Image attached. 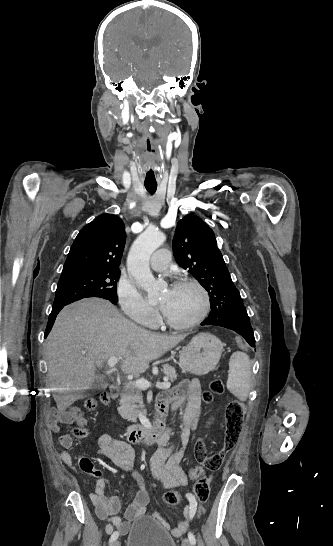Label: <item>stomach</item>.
<instances>
[{"label": "stomach", "instance_id": "stomach-1", "mask_svg": "<svg viewBox=\"0 0 333 546\" xmlns=\"http://www.w3.org/2000/svg\"><path fill=\"white\" fill-rule=\"evenodd\" d=\"M222 352L223 344L219 338L210 333H199L183 347L179 364L185 372L206 375L216 368Z\"/></svg>", "mask_w": 333, "mask_h": 546}]
</instances>
